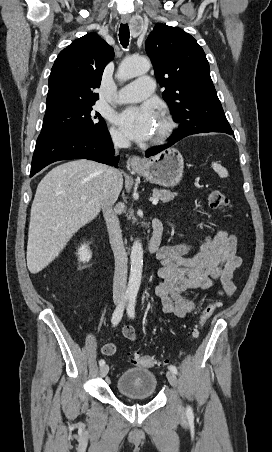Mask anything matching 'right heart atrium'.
<instances>
[{
    "mask_svg": "<svg viewBox=\"0 0 272 452\" xmlns=\"http://www.w3.org/2000/svg\"><path fill=\"white\" fill-rule=\"evenodd\" d=\"M110 134L112 137V140L115 144L117 145H124L127 142V139L125 137V135L118 129L116 128H112L110 130Z\"/></svg>",
    "mask_w": 272,
    "mask_h": 452,
    "instance_id": "1",
    "label": "right heart atrium"
}]
</instances>
